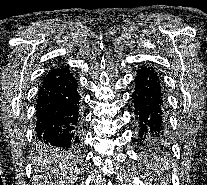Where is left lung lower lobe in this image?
I'll return each instance as SVG.
<instances>
[{"mask_svg":"<svg viewBox=\"0 0 207 185\" xmlns=\"http://www.w3.org/2000/svg\"><path fill=\"white\" fill-rule=\"evenodd\" d=\"M135 91L132 95L135 115L139 123V139L147 156L163 155L166 150L165 106L161 82L151 67H142L135 77Z\"/></svg>","mask_w":207,"mask_h":185,"instance_id":"1","label":"left lung lower lobe"}]
</instances>
